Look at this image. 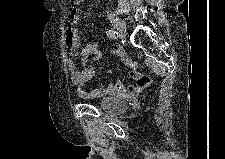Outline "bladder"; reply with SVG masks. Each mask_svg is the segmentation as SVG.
Listing matches in <instances>:
<instances>
[{"instance_id": "bladder-1", "label": "bladder", "mask_w": 225, "mask_h": 159, "mask_svg": "<svg viewBox=\"0 0 225 159\" xmlns=\"http://www.w3.org/2000/svg\"><path fill=\"white\" fill-rule=\"evenodd\" d=\"M91 101L112 114H121L126 110L125 101L119 97L90 96Z\"/></svg>"}]
</instances>
